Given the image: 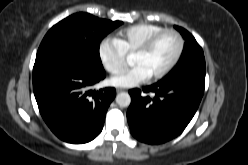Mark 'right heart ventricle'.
Returning <instances> with one entry per match:
<instances>
[{"label": "right heart ventricle", "instance_id": "1", "mask_svg": "<svg viewBox=\"0 0 248 165\" xmlns=\"http://www.w3.org/2000/svg\"><path fill=\"white\" fill-rule=\"evenodd\" d=\"M164 27L152 23H139L118 31L115 40L126 54L135 52L150 36L163 30Z\"/></svg>", "mask_w": 248, "mask_h": 165}]
</instances>
